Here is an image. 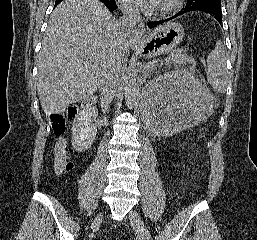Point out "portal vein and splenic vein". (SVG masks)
Returning a JSON list of instances; mask_svg holds the SVG:
<instances>
[{
  "instance_id": "1",
  "label": "portal vein and splenic vein",
  "mask_w": 257,
  "mask_h": 240,
  "mask_svg": "<svg viewBox=\"0 0 257 240\" xmlns=\"http://www.w3.org/2000/svg\"><path fill=\"white\" fill-rule=\"evenodd\" d=\"M154 65V62H149L144 66V70H149Z\"/></svg>"
}]
</instances>
